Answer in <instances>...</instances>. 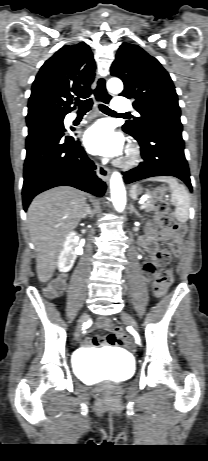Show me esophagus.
I'll list each match as a JSON object with an SVG mask.
<instances>
[{
  "label": "esophagus",
  "mask_w": 208,
  "mask_h": 461,
  "mask_svg": "<svg viewBox=\"0 0 208 461\" xmlns=\"http://www.w3.org/2000/svg\"><path fill=\"white\" fill-rule=\"evenodd\" d=\"M103 80H104V85H106V82H107V79L105 77H103ZM100 100H97L96 103H98ZM97 173H98V176L105 180V181H108L109 180V176H110V170L109 168L105 167V166H98L97 168Z\"/></svg>",
  "instance_id": "1"
}]
</instances>
